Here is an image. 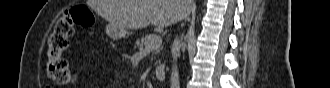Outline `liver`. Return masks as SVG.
Instances as JSON below:
<instances>
[{"mask_svg": "<svg viewBox=\"0 0 330 88\" xmlns=\"http://www.w3.org/2000/svg\"><path fill=\"white\" fill-rule=\"evenodd\" d=\"M192 0H99L97 12L119 29H140L149 24L167 27L191 11Z\"/></svg>", "mask_w": 330, "mask_h": 88, "instance_id": "1", "label": "liver"}]
</instances>
